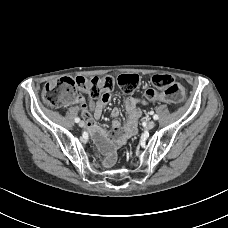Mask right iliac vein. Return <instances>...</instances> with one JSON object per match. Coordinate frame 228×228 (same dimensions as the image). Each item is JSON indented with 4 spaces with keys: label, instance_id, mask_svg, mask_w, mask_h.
Wrapping results in <instances>:
<instances>
[{
    "label": "right iliac vein",
    "instance_id": "63e3f726",
    "mask_svg": "<svg viewBox=\"0 0 228 228\" xmlns=\"http://www.w3.org/2000/svg\"><path fill=\"white\" fill-rule=\"evenodd\" d=\"M79 126H80V127H84V126H85L84 121H80V122H79Z\"/></svg>",
    "mask_w": 228,
    "mask_h": 228
}]
</instances>
